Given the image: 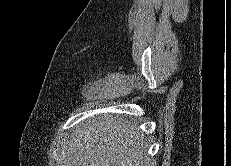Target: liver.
Masks as SVG:
<instances>
[{
  "label": "liver",
  "instance_id": "6515ba94",
  "mask_svg": "<svg viewBox=\"0 0 231 166\" xmlns=\"http://www.w3.org/2000/svg\"><path fill=\"white\" fill-rule=\"evenodd\" d=\"M67 166H144L147 143L120 117H92L76 127L66 146Z\"/></svg>",
  "mask_w": 231,
  "mask_h": 166
}]
</instances>
